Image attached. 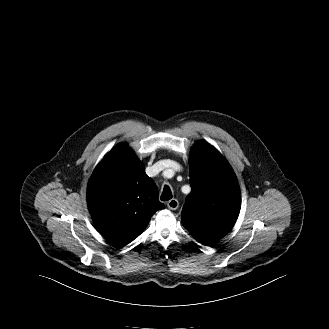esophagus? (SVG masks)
Segmentation results:
<instances>
[{"label": "esophagus", "instance_id": "obj_1", "mask_svg": "<svg viewBox=\"0 0 329 329\" xmlns=\"http://www.w3.org/2000/svg\"><path fill=\"white\" fill-rule=\"evenodd\" d=\"M167 207L170 210H176L179 207V202L177 199H171L170 201H168L167 203Z\"/></svg>", "mask_w": 329, "mask_h": 329}]
</instances>
